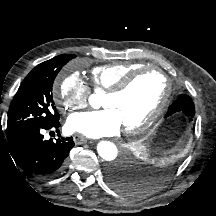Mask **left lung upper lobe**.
I'll use <instances>...</instances> for the list:
<instances>
[{
    "mask_svg": "<svg viewBox=\"0 0 216 216\" xmlns=\"http://www.w3.org/2000/svg\"><path fill=\"white\" fill-rule=\"evenodd\" d=\"M178 103V109L171 111L172 106H174V103ZM176 112H183L188 118L189 121L193 118L195 114V107L192 99L187 95L184 96L183 94L179 95L177 99L170 105L168 108L166 117L173 115ZM146 190V187L138 186L137 184L134 183L133 189L128 193V194H140Z\"/></svg>",
    "mask_w": 216,
    "mask_h": 216,
    "instance_id": "5c2ea615",
    "label": "left lung upper lobe"
}]
</instances>
